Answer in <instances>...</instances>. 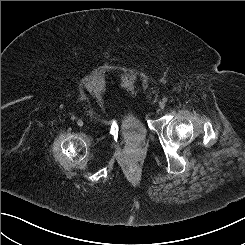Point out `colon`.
<instances>
[{
	"mask_svg": "<svg viewBox=\"0 0 245 245\" xmlns=\"http://www.w3.org/2000/svg\"><path fill=\"white\" fill-rule=\"evenodd\" d=\"M135 169H136V167H135L134 164H131V165H129V167H128L129 172H134Z\"/></svg>",
	"mask_w": 245,
	"mask_h": 245,
	"instance_id": "1",
	"label": "colon"
}]
</instances>
